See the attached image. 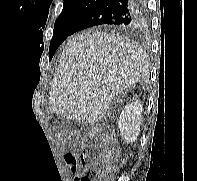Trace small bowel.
<instances>
[{"label": "small bowel", "instance_id": "obj_1", "mask_svg": "<svg viewBox=\"0 0 197 181\" xmlns=\"http://www.w3.org/2000/svg\"><path fill=\"white\" fill-rule=\"evenodd\" d=\"M73 140H76L78 139V135L77 134H72L70 136ZM85 149H83L81 151V153L84 151ZM87 151V150H85ZM88 152V151H87ZM81 153L80 154H77L75 152H70V153H67L65 155V160H66V163L68 164V166L70 167V169L75 172L77 170V166H78V158L81 159L82 161V158H81Z\"/></svg>", "mask_w": 197, "mask_h": 181}]
</instances>
